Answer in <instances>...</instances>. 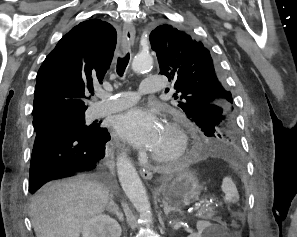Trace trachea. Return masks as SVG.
I'll list each match as a JSON object with an SVG mask.
<instances>
[{
    "label": "trachea",
    "instance_id": "3493384b",
    "mask_svg": "<svg viewBox=\"0 0 297 237\" xmlns=\"http://www.w3.org/2000/svg\"><path fill=\"white\" fill-rule=\"evenodd\" d=\"M130 54L127 53L124 57H119L117 61V74L122 77L129 63Z\"/></svg>",
    "mask_w": 297,
    "mask_h": 237
}]
</instances>
